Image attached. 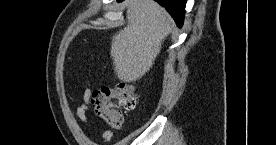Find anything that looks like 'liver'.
Returning <instances> with one entry per match:
<instances>
[{
  "mask_svg": "<svg viewBox=\"0 0 276 145\" xmlns=\"http://www.w3.org/2000/svg\"><path fill=\"white\" fill-rule=\"evenodd\" d=\"M127 25L112 37L110 54L119 80L135 82L152 68L172 19L153 0L127 1Z\"/></svg>",
  "mask_w": 276,
  "mask_h": 145,
  "instance_id": "liver-1",
  "label": "liver"
}]
</instances>
